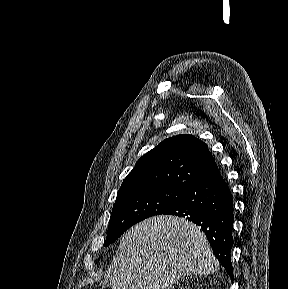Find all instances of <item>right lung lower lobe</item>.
<instances>
[{"instance_id":"1","label":"right lung lower lobe","mask_w":288,"mask_h":289,"mask_svg":"<svg viewBox=\"0 0 288 289\" xmlns=\"http://www.w3.org/2000/svg\"><path fill=\"white\" fill-rule=\"evenodd\" d=\"M163 214L185 217L201 226L215 256L233 278L230 256L233 245V199L217 167L187 188L183 197Z\"/></svg>"}]
</instances>
